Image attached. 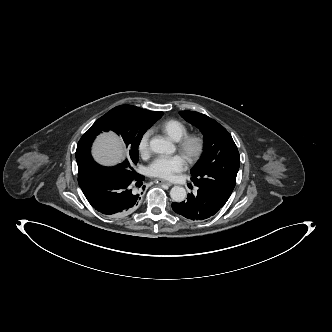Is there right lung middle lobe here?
I'll return each mask as SVG.
<instances>
[{
    "instance_id": "1",
    "label": "right lung middle lobe",
    "mask_w": 332,
    "mask_h": 332,
    "mask_svg": "<svg viewBox=\"0 0 332 332\" xmlns=\"http://www.w3.org/2000/svg\"><path fill=\"white\" fill-rule=\"evenodd\" d=\"M163 112L142 114L133 111L128 105L111 109L99 118L80 139L76 150L78 174L85 172L94 162L90 149L96 135L102 131L112 130L120 135L125 143L127 158L114 166L127 175L134 174V166L139 159L138 146L146 130L161 116Z\"/></svg>"
}]
</instances>
